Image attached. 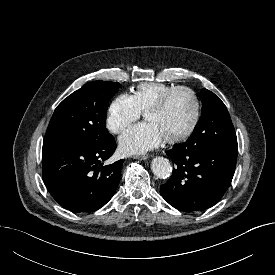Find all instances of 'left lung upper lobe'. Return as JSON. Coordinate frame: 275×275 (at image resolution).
<instances>
[{"mask_svg": "<svg viewBox=\"0 0 275 275\" xmlns=\"http://www.w3.org/2000/svg\"><path fill=\"white\" fill-rule=\"evenodd\" d=\"M199 146L236 148V133L224 103L211 91L202 96V115L191 136L182 147Z\"/></svg>", "mask_w": 275, "mask_h": 275, "instance_id": "1", "label": "left lung upper lobe"}]
</instances>
